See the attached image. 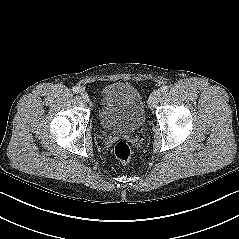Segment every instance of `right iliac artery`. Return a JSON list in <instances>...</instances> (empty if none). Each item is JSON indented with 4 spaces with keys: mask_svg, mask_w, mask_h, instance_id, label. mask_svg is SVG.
<instances>
[{
    "mask_svg": "<svg viewBox=\"0 0 239 239\" xmlns=\"http://www.w3.org/2000/svg\"><path fill=\"white\" fill-rule=\"evenodd\" d=\"M72 91H73V93H79L80 89H79V87L75 86V87H73Z\"/></svg>",
    "mask_w": 239,
    "mask_h": 239,
    "instance_id": "82829eb1",
    "label": "right iliac artery"
}]
</instances>
